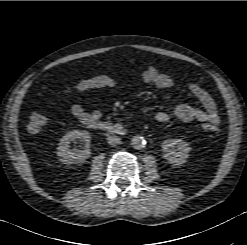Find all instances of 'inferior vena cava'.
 <instances>
[{"mask_svg": "<svg viewBox=\"0 0 247 245\" xmlns=\"http://www.w3.org/2000/svg\"><path fill=\"white\" fill-rule=\"evenodd\" d=\"M107 141L110 145H117L121 143V138L116 135H110L108 136Z\"/></svg>", "mask_w": 247, "mask_h": 245, "instance_id": "602c4592", "label": "inferior vena cava"}]
</instances>
